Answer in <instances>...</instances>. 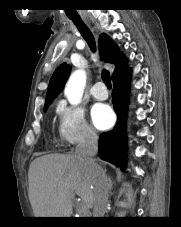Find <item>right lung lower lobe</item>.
Here are the masks:
<instances>
[{"label":"right lung lower lobe","mask_w":181,"mask_h":227,"mask_svg":"<svg viewBox=\"0 0 181 227\" xmlns=\"http://www.w3.org/2000/svg\"><path fill=\"white\" fill-rule=\"evenodd\" d=\"M130 70L124 59L121 67L112 75L114 90L112 92L114 110L117 114L115 127L105 132L99 139V156L112 162L121 169L125 166V119L129 92Z\"/></svg>","instance_id":"1"}]
</instances>
